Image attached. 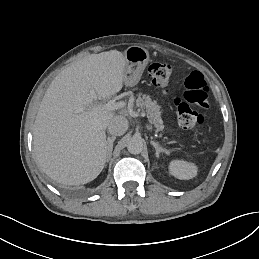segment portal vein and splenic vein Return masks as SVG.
I'll use <instances>...</instances> for the list:
<instances>
[{"mask_svg": "<svg viewBox=\"0 0 259 259\" xmlns=\"http://www.w3.org/2000/svg\"><path fill=\"white\" fill-rule=\"evenodd\" d=\"M90 94L92 96V98L96 101L97 100V95L95 93L94 90H91L90 91ZM125 106V103L124 102H116L115 100H110L108 101L106 104H105V107L109 110V111H114V110H117V109H120L122 107ZM85 109L83 107L81 108H77L74 113L78 114V113H81L83 112Z\"/></svg>", "mask_w": 259, "mask_h": 259, "instance_id": "obj_1", "label": "portal vein and splenic vein"}]
</instances>
